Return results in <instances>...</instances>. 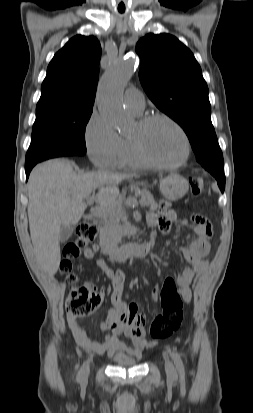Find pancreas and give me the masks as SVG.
<instances>
[{
    "mask_svg": "<svg viewBox=\"0 0 253 413\" xmlns=\"http://www.w3.org/2000/svg\"><path fill=\"white\" fill-rule=\"evenodd\" d=\"M135 193L137 197H140V203L143 206H147L151 211L157 210L158 205L149 191L135 189ZM126 219V211L123 207H115L107 212L104 217L105 223L108 225H117L120 221H125Z\"/></svg>",
    "mask_w": 253,
    "mask_h": 413,
    "instance_id": "cf45deb5",
    "label": "pancreas"
}]
</instances>
